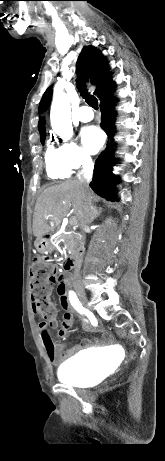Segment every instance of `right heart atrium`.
<instances>
[{
    "label": "right heart atrium",
    "mask_w": 165,
    "mask_h": 461,
    "mask_svg": "<svg viewBox=\"0 0 165 461\" xmlns=\"http://www.w3.org/2000/svg\"><path fill=\"white\" fill-rule=\"evenodd\" d=\"M60 155L70 170H78L90 166L91 156L75 142H63L59 147Z\"/></svg>",
    "instance_id": "obj_1"
}]
</instances>
